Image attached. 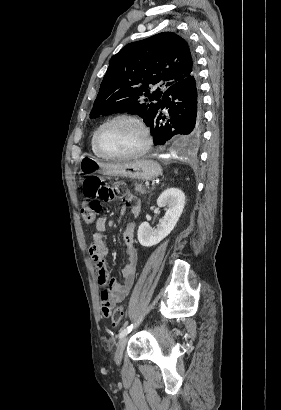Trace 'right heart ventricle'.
Wrapping results in <instances>:
<instances>
[{"label": "right heart ventricle", "instance_id": "obj_1", "mask_svg": "<svg viewBox=\"0 0 281 410\" xmlns=\"http://www.w3.org/2000/svg\"><path fill=\"white\" fill-rule=\"evenodd\" d=\"M94 133H95V132H94ZM90 145H91V150H92V152H93L96 156L102 157V156L97 152V150H96V148H95V145H94V134H93L92 137H91Z\"/></svg>", "mask_w": 281, "mask_h": 410}]
</instances>
